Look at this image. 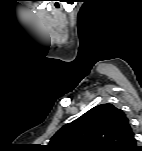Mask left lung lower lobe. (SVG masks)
<instances>
[{
    "mask_svg": "<svg viewBox=\"0 0 142 151\" xmlns=\"http://www.w3.org/2000/svg\"><path fill=\"white\" fill-rule=\"evenodd\" d=\"M124 151H142V148H139L138 146H136V140L135 137H133L129 144L126 146Z\"/></svg>",
    "mask_w": 142,
    "mask_h": 151,
    "instance_id": "obj_1",
    "label": "left lung lower lobe"
}]
</instances>
